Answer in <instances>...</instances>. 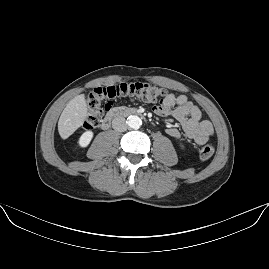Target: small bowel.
<instances>
[{
    "instance_id": "obj_1",
    "label": "small bowel",
    "mask_w": 269,
    "mask_h": 269,
    "mask_svg": "<svg viewBox=\"0 0 269 269\" xmlns=\"http://www.w3.org/2000/svg\"><path fill=\"white\" fill-rule=\"evenodd\" d=\"M155 113L159 116H172L182 126L186 136L197 145H204L214 135V128L209 120L202 119V114L187 96L168 93L161 104L155 108ZM168 135L173 138H181V134L176 128L167 129Z\"/></svg>"
}]
</instances>
